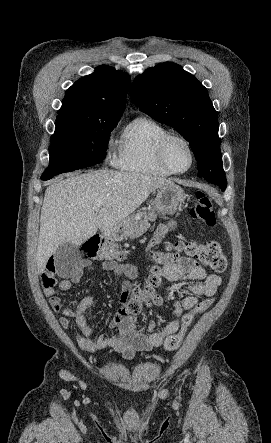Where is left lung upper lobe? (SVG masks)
Here are the masks:
<instances>
[{
  "mask_svg": "<svg viewBox=\"0 0 271 443\" xmlns=\"http://www.w3.org/2000/svg\"><path fill=\"white\" fill-rule=\"evenodd\" d=\"M130 94L141 111L183 135L196 157L198 176L224 191L227 180L219 146V124L207 89L180 65L168 62L138 75Z\"/></svg>",
  "mask_w": 271,
  "mask_h": 443,
  "instance_id": "5c2ea615",
  "label": "left lung upper lobe"
}]
</instances>
